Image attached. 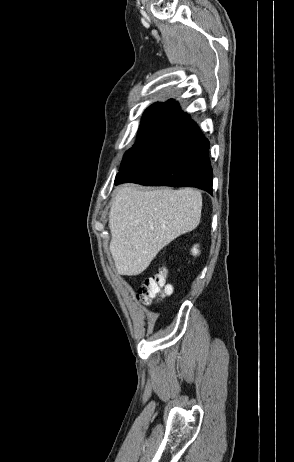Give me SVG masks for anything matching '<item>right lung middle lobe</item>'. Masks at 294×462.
Returning a JSON list of instances; mask_svg holds the SVG:
<instances>
[{"mask_svg":"<svg viewBox=\"0 0 294 462\" xmlns=\"http://www.w3.org/2000/svg\"><path fill=\"white\" fill-rule=\"evenodd\" d=\"M182 112L175 106L174 100L156 103L144 113L139 128L138 140L123 158L119 171L124 169L143 149L160 138L180 117Z\"/></svg>","mask_w":294,"mask_h":462,"instance_id":"obj_1","label":"right lung middle lobe"}]
</instances>
